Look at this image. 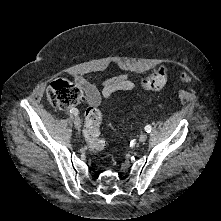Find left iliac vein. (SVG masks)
I'll list each match as a JSON object with an SVG mask.
<instances>
[{
	"instance_id": "1",
	"label": "left iliac vein",
	"mask_w": 221,
	"mask_h": 221,
	"mask_svg": "<svg viewBox=\"0 0 221 221\" xmlns=\"http://www.w3.org/2000/svg\"><path fill=\"white\" fill-rule=\"evenodd\" d=\"M147 139V134L146 133H141L139 137L140 142H145Z\"/></svg>"
}]
</instances>
